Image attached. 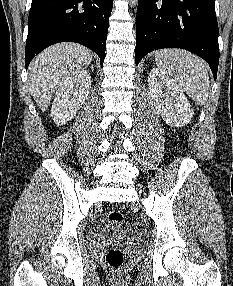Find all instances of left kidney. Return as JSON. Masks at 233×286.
<instances>
[{
	"instance_id": "5707ae66",
	"label": "left kidney",
	"mask_w": 233,
	"mask_h": 286,
	"mask_svg": "<svg viewBox=\"0 0 233 286\" xmlns=\"http://www.w3.org/2000/svg\"><path fill=\"white\" fill-rule=\"evenodd\" d=\"M151 98L163 120L173 127L187 125L193 109L179 85L159 69H152L148 76Z\"/></svg>"
}]
</instances>
